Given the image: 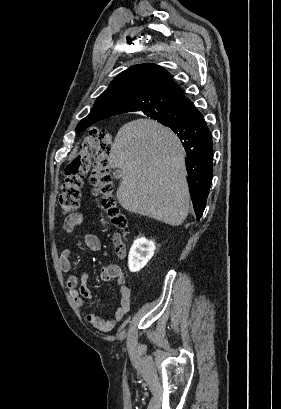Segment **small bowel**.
I'll list each match as a JSON object with an SVG mask.
<instances>
[{
    "label": "small bowel",
    "mask_w": 281,
    "mask_h": 409,
    "mask_svg": "<svg viewBox=\"0 0 281 409\" xmlns=\"http://www.w3.org/2000/svg\"><path fill=\"white\" fill-rule=\"evenodd\" d=\"M83 222L81 213L77 212L69 215L65 220V229L67 231H72L76 227L80 226ZM84 243L93 252H97L101 248L100 240L96 234L91 231H86L83 236ZM72 251L67 248L63 250L60 255V266L64 272H69L72 267L71 263ZM99 278L102 281L115 280L118 285H120V297L119 303L116 307L115 312L109 319H104L93 312H86V320L91 323L95 328L101 332L111 331L115 325L123 319L127 314L132 297L131 289L125 285L126 277L122 268L116 263H109L107 266L103 267L100 271ZM88 275L84 273L81 277L80 283L77 277L70 276L67 281L68 289L73 297V300L77 307L84 309L86 300H92L94 294L91 289L87 286Z\"/></svg>",
    "instance_id": "1"
}]
</instances>
